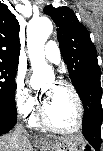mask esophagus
<instances>
[{"mask_svg": "<svg viewBox=\"0 0 103 151\" xmlns=\"http://www.w3.org/2000/svg\"><path fill=\"white\" fill-rule=\"evenodd\" d=\"M39 140H40V141H43V138L40 137Z\"/></svg>", "mask_w": 103, "mask_h": 151, "instance_id": "34e87169", "label": "esophagus"}]
</instances>
